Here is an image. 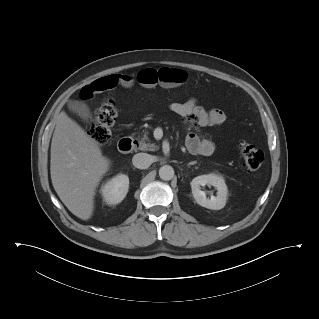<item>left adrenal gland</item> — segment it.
I'll return each mask as SVG.
<instances>
[{"label":"left adrenal gland","instance_id":"left-adrenal-gland-1","mask_svg":"<svg viewBox=\"0 0 319 319\" xmlns=\"http://www.w3.org/2000/svg\"><path fill=\"white\" fill-rule=\"evenodd\" d=\"M194 164H196V161L188 163V167H190V165H194Z\"/></svg>","mask_w":319,"mask_h":319}]
</instances>
